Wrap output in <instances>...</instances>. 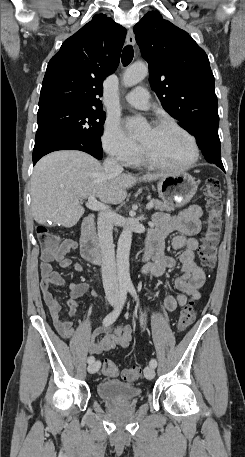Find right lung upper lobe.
I'll return each mask as SVG.
<instances>
[{"label":"right lung upper lobe","mask_w":245,"mask_h":457,"mask_svg":"<svg viewBox=\"0 0 245 457\" xmlns=\"http://www.w3.org/2000/svg\"><path fill=\"white\" fill-rule=\"evenodd\" d=\"M125 36L124 27L97 14L65 40L48 63L38 112L72 103L102 107V83L118 67Z\"/></svg>","instance_id":"cb5924a9"}]
</instances>
